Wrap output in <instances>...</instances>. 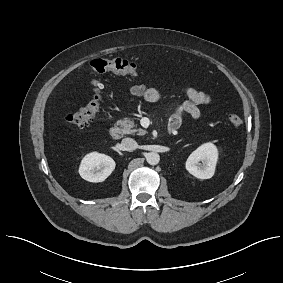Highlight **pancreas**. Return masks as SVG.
Returning <instances> with one entry per match:
<instances>
[{
    "label": "pancreas",
    "instance_id": "obj_1",
    "mask_svg": "<svg viewBox=\"0 0 283 283\" xmlns=\"http://www.w3.org/2000/svg\"><path fill=\"white\" fill-rule=\"evenodd\" d=\"M120 126L122 128L123 134H135L138 135H145L147 132L142 128H136V124L133 120H130L129 118H124L123 120L119 121Z\"/></svg>",
    "mask_w": 283,
    "mask_h": 283
}]
</instances>
